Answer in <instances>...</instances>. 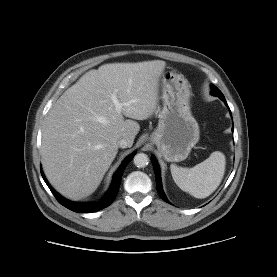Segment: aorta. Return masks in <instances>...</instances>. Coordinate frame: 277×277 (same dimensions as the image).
Masks as SVG:
<instances>
[{
  "instance_id": "1",
  "label": "aorta",
  "mask_w": 277,
  "mask_h": 277,
  "mask_svg": "<svg viewBox=\"0 0 277 277\" xmlns=\"http://www.w3.org/2000/svg\"><path fill=\"white\" fill-rule=\"evenodd\" d=\"M133 160H134L135 166H137L139 168H143V167L147 166L149 163V158L144 153L136 154Z\"/></svg>"
}]
</instances>
